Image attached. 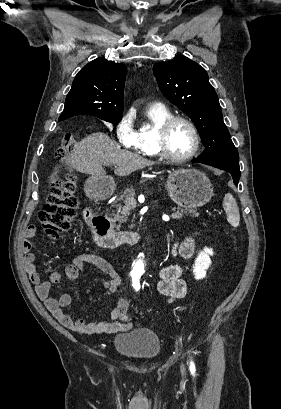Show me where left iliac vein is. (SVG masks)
<instances>
[{
	"label": "left iliac vein",
	"mask_w": 281,
	"mask_h": 409,
	"mask_svg": "<svg viewBox=\"0 0 281 409\" xmlns=\"http://www.w3.org/2000/svg\"><path fill=\"white\" fill-rule=\"evenodd\" d=\"M181 371H182V373L185 372V367H184V365L181 366Z\"/></svg>",
	"instance_id": "1"
}]
</instances>
